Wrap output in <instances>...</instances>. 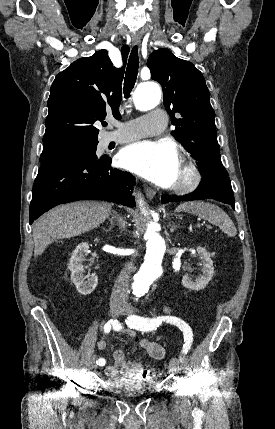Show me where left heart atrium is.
Here are the masks:
<instances>
[{"label": "left heart atrium", "instance_id": "left-heart-atrium-1", "mask_svg": "<svg viewBox=\"0 0 275 429\" xmlns=\"http://www.w3.org/2000/svg\"><path fill=\"white\" fill-rule=\"evenodd\" d=\"M119 164L153 183L170 187L176 180L179 160L175 148L165 141H139L125 147Z\"/></svg>", "mask_w": 275, "mask_h": 429}]
</instances>
